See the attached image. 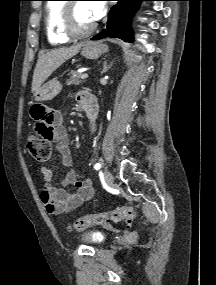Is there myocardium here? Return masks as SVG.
Listing matches in <instances>:
<instances>
[{
	"mask_svg": "<svg viewBox=\"0 0 216 285\" xmlns=\"http://www.w3.org/2000/svg\"><path fill=\"white\" fill-rule=\"evenodd\" d=\"M75 4L76 2L65 3L61 16V28L63 33L67 37L72 39H79L87 37L90 34H92L96 30L97 24L94 23L92 26L84 30L78 29L75 24V18H74Z\"/></svg>",
	"mask_w": 216,
	"mask_h": 285,
	"instance_id": "f54148a6",
	"label": "myocardium"
}]
</instances>
